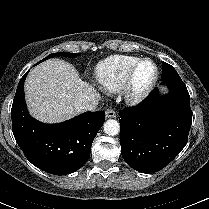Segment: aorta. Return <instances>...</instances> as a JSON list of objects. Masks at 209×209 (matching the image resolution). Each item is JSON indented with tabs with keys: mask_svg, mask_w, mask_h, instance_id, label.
<instances>
[{
	"mask_svg": "<svg viewBox=\"0 0 209 209\" xmlns=\"http://www.w3.org/2000/svg\"><path fill=\"white\" fill-rule=\"evenodd\" d=\"M104 132L109 136H115L120 132V125L117 120L109 119L104 123Z\"/></svg>",
	"mask_w": 209,
	"mask_h": 209,
	"instance_id": "762f6f07",
	"label": "aorta"
}]
</instances>
